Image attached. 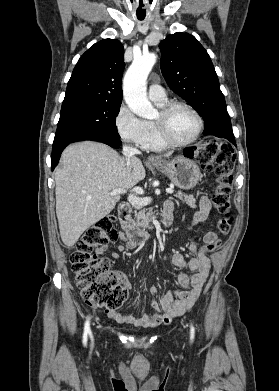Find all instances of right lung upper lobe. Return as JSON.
<instances>
[{
  "label": "right lung upper lobe",
  "instance_id": "1",
  "mask_svg": "<svg viewBox=\"0 0 279 391\" xmlns=\"http://www.w3.org/2000/svg\"><path fill=\"white\" fill-rule=\"evenodd\" d=\"M124 47L118 40L94 44L78 60L61 109L89 103H121Z\"/></svg>",
  "mask_w": 279,
  "mask_h": 391
}]
</instances>
